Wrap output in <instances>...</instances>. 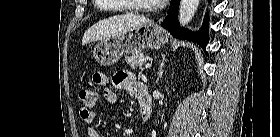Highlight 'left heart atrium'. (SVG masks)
Here are the masks:
<instances>
[{
	"label": "left heart atrium",
	"mask_w": 280,
	"mask_h": 137,
	"mask_svg": "<svg viewBox=\"0 0 280 137\" xmlns=\"http://www.w3.org/2000/svg\"><path fill=\"white\" fill-rule=\"evenodd\" d=\"M153 4H165L167 0H151Z\"/></svg>",
	"instance_id": "obj_1"
}]
</instances>
